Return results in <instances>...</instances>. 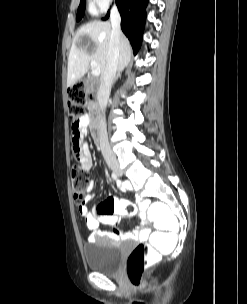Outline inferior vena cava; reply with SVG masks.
Segmentation results:
<instances>
[{
  "instance_id": "obj_1",
  "label": "inferior vena cava",
  "mask_w": 247,
  "mask_h": 304,
  "mask_svg": "<svg viewBox=\"0 0 247 304\" xmlns=\"http://www.w3.org/2000/svg\"><path fill=\"white\" fill-rule=\"evenodd\" d=\"M110 21H111V35H110V42L108 48L107 63L105 70L101 75L100 85L97 92V100L100 110L102 112V115L99 116L97 119V126L99 129V139H100L102 155L106 160L107 164L111 167H114V166H118V162L108 142L104 113L106 109V104L110 96L111 86L116 76L118 58L120 54L119 44H120V34H121L120 31L121 17L116 6H113V8L111 9Z\"/></svg>"
}]
</instances>
